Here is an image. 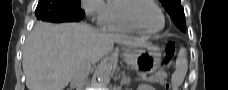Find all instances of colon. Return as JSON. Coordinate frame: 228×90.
I'll list each match as a JSON object with an SVG mask.
<instances>
[{"label":"colon","instance_id":"5ec220e1","mask_svg":"<svg viewBox=\"0 0 228 90\" xmlns=\"http://www.w3.org/2000/svg\"><path fill=\"white\" fill-rule=\"evenodd\" d=\"M176 50H177L176 43L173 41L168 42V44L166 46V60H165V64L167 66L171 65L172 59L176 54ZM170 88L175 90V88L172 86H170Z\"/></svg>","mask_w":228,"mask_h":90}]
</instances>
